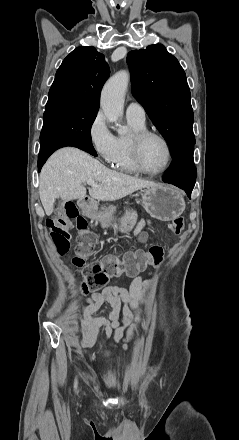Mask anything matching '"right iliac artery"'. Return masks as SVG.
I'll use <instances>...</instances> for the list:
<instances>
[{
  "label": "right iliac artery",
  "mask_w": 239,
  "mask_h": 440,
  "mask_svg": "<svg viewBox=\"0 0 239 440\" xmlns=\"http://www.w3.org/2000/svg\"><path fill=\"white\" fill-rule=\"evenodd\" d=\"M77 387V380L75 381V388Z\"/></svg>",
  "instance_id": "82829eb1"
}]
</instances>
